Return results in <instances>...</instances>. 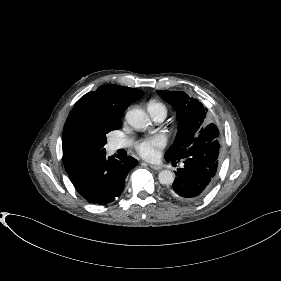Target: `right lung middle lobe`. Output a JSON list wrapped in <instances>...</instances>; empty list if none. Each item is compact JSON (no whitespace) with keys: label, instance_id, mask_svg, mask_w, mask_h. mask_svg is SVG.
Returning a JSON list of instances; mask_svg holds the SVG:
<instances>
[{"label":"right lung middle lobe","instance_id":"dd1d6c3e","mask_svg":"<svg viewBox=\"0 0 281 281\" xmlns=\"http://www.w3.org/2000/svg\"><path fill=\"white\" fill-rule=\"evenodd\" d=\"M120 126L121 119L109 116L95 104L76 102L63 129V162L80 165L105 152L106 134Z\"/></svg>","mask_w":281,"mask_h":281}]
</instances>
